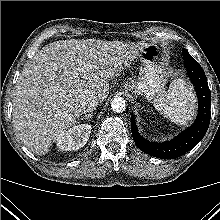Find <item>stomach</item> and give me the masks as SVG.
<instances>
[{
    "label": "stomach",
    "mask_w": 220,
    "mask_h": 220,
    "mask_svg": "<svg viewBox=\"0 0 220 220\" xmlns=\"http://www.w3.org/2000/svg\"><path fill=\"white\" fill-rule=\"evenodd\" d=\"M139 74L124 84L125 92L141 95L152 100L163 93L167 82V71L161 62V50L156 44H147L138 56Z\"/></svg>",
    "instance_id": "obj_1"
}]
</instances>
